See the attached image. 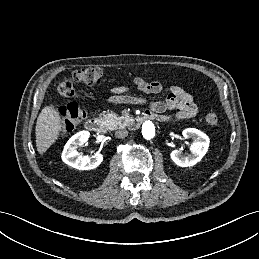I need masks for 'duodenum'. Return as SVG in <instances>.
<instances>
[{"label": "duodenum", "instance_id": "duodenum-1", "mask_svg": "<svg viewBox=\"0 0 259 259\" xmlns=\"http://www.w3.org/2000/svg\"><path fill=\"white\" fill-rule=\"evenodd\" d=\"M151 117L152 116L147 113L138 115L133 119L130 127L132 129L139 128L144 121H146L147 119H149ZM86 128L89 131H91L93 133H97V134H104L106 132L105 123L100 118H97V117L88 119L86 122Z\"/></svg>", "mask_w": 259, "mask_h": 259}]
</instances>
